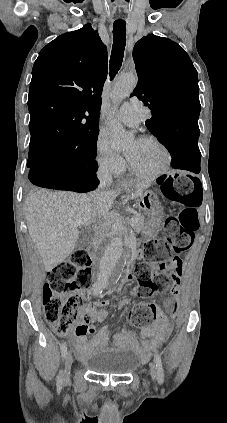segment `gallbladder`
Masks as SVG:
<instances>
[{
    "instance_id": "bac80fb5",
    "label": "gallbladder",
    "mask_w": 227,
    "mask_h": 423,
    "mask_svg": "<svg viewBox=\"0 0 227 423\" xmlns=\"http://www.w3.org/2000/svg\"><path fill=\"white\" fill-rule=\"evenodd\" d=\"M93 237H94V231L91 225H85V227H81L80 233H79V239L76 243V249H84V247H88Z\"/></svg>"
}]
</instances>
